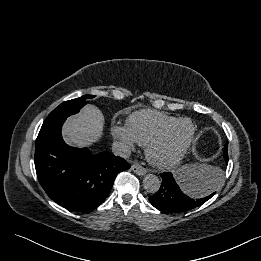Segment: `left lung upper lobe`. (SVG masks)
<instances>
[{
	"label": "left lung upper lobe",
	"mask_w": 261,
	"mask_h": 261,
	"mask_svg": "<svg viewBox=\"0 0 261 261\" xmlns=\"http://www.w3.org/2000/svg\"><path fill=\"white\" fill-rule=\"evenodd\" d=\"M224 148L227 150L228 149V142L225 143Z\"/></svg>",
	"instance_id": "1"
}]
</instances>
